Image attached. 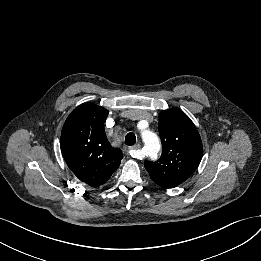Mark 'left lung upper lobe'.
I'll use <instances>...</instances> for the list:
<instances>
[{"mask_svg": "<svg viewBox=\"0 0 261 261\" xmlns=\"http://www.w3.org/2000/svg\"><path fill=\"white\" fill-rule=\"evenodd\" d=\"M162 155L156 162L145 161L151 179L163 188H173L188 179L198 167L203 147L190 118L179 108L159 113Z\"/></svg>", "mask_w": 261, "mask_h": 261, "instance_id": "1", "label": "left lung upper lobe"}]
</instances>
